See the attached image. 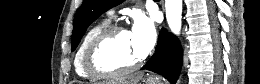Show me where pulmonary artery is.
I'll return each mask as SVG.
<instances>
[{"instance_id": "1", "label": "pulmonary artery", "mask_w": 260, "mask_h": 84, "mask_svg": "<svg viewBox=\"0 0 260 84\" xmlns=\"http://www.w3.org/2000/svg\"><path fill=\"white\" fill-rule=\"evenodd\" d=\"M107 16H108L109 18L115 17V11H114V10L108 11Z\"/></svg>"}]
</instances>
